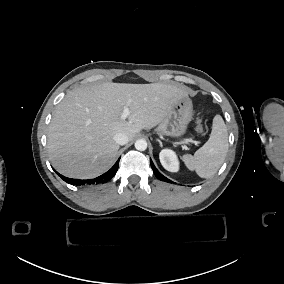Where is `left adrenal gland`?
Segmentation results:
<instances>
[{"mask_svg":"<svg viewBox=\"0 0 284 284\" xmlns=\"http://www.w3.org/2000/svg\"><path fill=\"white\" fill-rule=\"evenodd\" d=\"M157 141L160 143L161 146H163V143L160 140H157Z\"/></svg>","mask_w":284,"mask_h":284,"instance_id":"1","label":"left adrenal gland"}]
</instances>
